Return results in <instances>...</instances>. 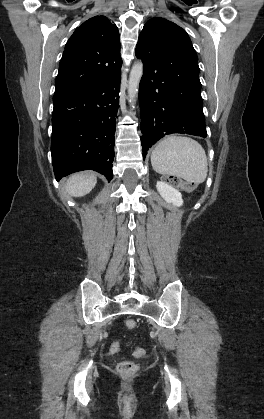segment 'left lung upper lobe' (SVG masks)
<instances>
[{
  "label": "left lung upper lobe",
  "mask_w": 264,
  "mask_h": 419,
  "mask_svg": "<svg viewBox=\"0 0 264 419\" xmlns=\"http://www.w3.org/2000/svg\"><path fill=\"white\" fill-rule=\"evenodd\" d=\"M152 46L161 51L159 65L164 75L199 80L197 54L184 29L163 18L150 19L139 35L136 53Z\"/></svg>",
  "instance_id": "5c2ea615"
}]
</instances>
